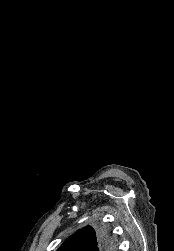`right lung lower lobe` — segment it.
Masks as SVG:
<instances>
[{
  "mask_svg": "<svg viewBox=\"0 0 174 251\" xmlns=\"http://www.w3.org/2000/svg\"><path fill=\"white\" fill-rule=\"evenodd\" d=\"M112 244L111 240L109 239L106 232L101 231L100 232V241L99 245L93 249V251H99V250H112Z\"/></svg>",
  "mask_w": 174,
  "mask_h": 251,
  "instance_id": "1",
  "label": "right lung lower lobe"
}]
</instances>
